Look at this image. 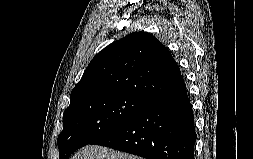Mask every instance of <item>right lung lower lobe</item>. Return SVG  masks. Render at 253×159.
Instances as JSON below:
<instances>
[{
	"instance_id": "right-lung-lower-lobe-1",
	"label": "right lung lower lobe",
	"mask_w": 253,
	"mask_h": 159,
	"mask_svg": "<svg viewBox=\"0 0 253 159\" xmlns=\"http://www.w3.org/2000/svg\"><path fill=\"white\" fill-rule=\"evenodd\" d=\"M194 115L185 85L136 113L92 144L147 159H194Z\"/></svg>"
}]
</instances>
